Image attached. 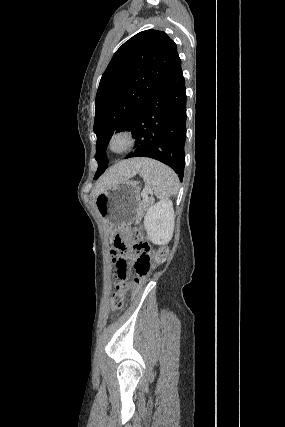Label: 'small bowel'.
Listing matches in <instances>:
<instances>
[{
  "mask_svg": "<svg viewBox=\"0 0 285 427\" xmlns=\"http://www.w3.org/2000/svg\"><path fill=\"white\" fill-rule=\"evenodd\" d=\"M113 255H114V262L120 261V260H125L127 258L126 255H115V254H113Z\"/></svg>",
  "mask_w": 285,
  "mask_h": 427,
  "instance_id": "1",
  "label": "small bowel"
}]
</instances>
